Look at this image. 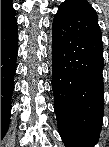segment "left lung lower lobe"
<instances>
[{
    "label": "left lung lower lobe",
    "mask_w": 109,
    "mask_h": 147,
    "mask_svg": "<svg viewBox=\"0 0 109 147\" xmlns=\"http://www.w3.org/2000/svg\"><path fill=\"white\" fill-rule=\"evenodd\" d=\"M52 60L59 134L66 146L94 147L104 112L103 45L97 18L62 3L53 20Z\"/></svg>",
    "instance_id": "0a47b994"
}]
</instances>
